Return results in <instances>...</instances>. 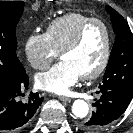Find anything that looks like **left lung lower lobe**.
Instances as JSON below:
<instances>
[{"label":"left lung lower lobe","instance_id":"0a47b994","mask_svg":"<svg viewBox=\"0 0 133 133\" xmlns=\"http://www.w3.org/2000/svg\"><path fill=\"white\" fill-rule=\"evenodd\" d=\"M101 97L95 100L92 116L81 124L87 133H99L115 122L126 110L132 97L112 90H100Z\"/></svg>","mask_w":133,"mask_h":133}]
</instances>
